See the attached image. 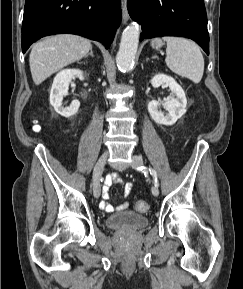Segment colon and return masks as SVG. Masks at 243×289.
<instances>
[{
  "mask_svg": "<svg viewBox=\"0 0 243 289\" xmlns=\"http://www.w3.org/2000/svg\"><path fill=\"white\" fill-rule=\"evenodd\" d=\"M35 131H39L40 130V127L38 125H36L34 127ZM134 208L137 212L139 213H145L148 211L149 209V205L146 201H143V200H139L135 203L134 205Z\"/></svg>",
  "mask_w": 243,
  "mask_h": 289,
  "instance_id": "colon-1",
  "label": "colon"
}]
</instances>
